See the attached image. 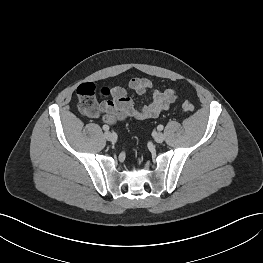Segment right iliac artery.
<instances>
[{"mask_svg": "<svg viewBox=\"0 0 263 263\" xmlns=\"http://www.w3.org/2000/svg\"><path fill=\"white\" fill-rule=\"evenodd\" d=\"M103 130L108 131L109 130V126L108 125H103Z\"/></svg>", "mask_w": 263, "mask_h": 263, "instance_id": "right-iliac-artery-1", "label": "right iliac artery"}]
</instances>
